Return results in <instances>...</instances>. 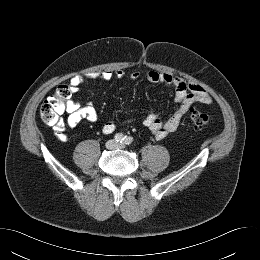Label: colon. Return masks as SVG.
<instances>
[{
	"instance_id": "obj_1",
	"label": "colon",
	"mask_w": 260,
	"mask_h": 260,
	"mask_svg": "<svg viewBox=\"0 0 260 260\" xmlns=\"http://www.w3.org/2000/svg\"><path fill=\"white\" fill-rule=\"evenodd\" d=\"M71 92L67 86H59L52 96H49L40 107V117L47 125H60L62 115L66 112ZM191 126L194 129L209 127L213 118L203 112L192 111L190 114Z\"/></svg>"
}]
</instances>
